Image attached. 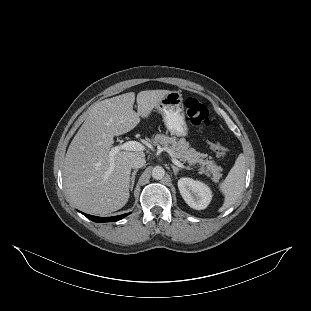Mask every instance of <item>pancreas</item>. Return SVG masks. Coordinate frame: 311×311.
Returning <instances> with one entry per match:
<instances>
[{"mask_svg":"<svg viewBox=\"0 0 311 311\" xmlns=\"http://www.w3.org/2000/svg\"><path fill=\"white\" fill-rule=\"evenodd\" d=\"M156 144H160L166 150L173 152L174 157L181 161L193 165L197 163L200 165L199 174H205L212 181L218 182L222 177V169L214 161L205 159L207 154L197 152L191 148L189 141L184 138L177 140L176 136L170 137L167 135H156L154 138Z\"/></svg>","mask_w":311,"mask_h":311,"instance_id":"cf45deb5","label":"pancreas"}]
</instances>
